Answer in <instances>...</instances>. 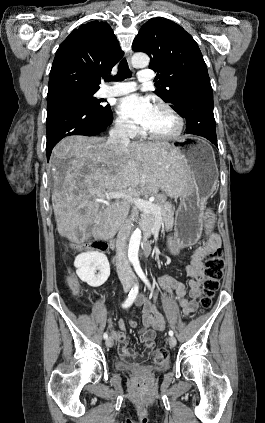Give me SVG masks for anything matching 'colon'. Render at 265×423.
<instances>
[{
	"label": "colon",
	"instance_id": "5ec220e1",
	"mask_svg": "<svg viewBox=\"0 0 265 423\" xmlns=\"http://www.w3.org/2000/svg\"><path fill=\"white\" fill-rule=\"evenodd\" d=\"M206 229L210 231L214 223V214L211 211H207L206 215ZM88 249L96 251H104L106 249V243L102 241L91 242L85 245ZM224 259L222 257L221 250L219 248L212 249L207 253L206 264H205V275L206 278L203 282L202 292L203 295L200 298V306L202 309L210 308L212 304V298L219 288L220 280L224 273ZM67 284L71 291L78 295L81 292L80 284L76 277L72 274L67 276ZM169 351L166 347H157L151 351V359L154 364L160 365L168 360Z\"/></svg>",
	"mask_w": 265,
	"mask_h": 423
}]
</instances>
